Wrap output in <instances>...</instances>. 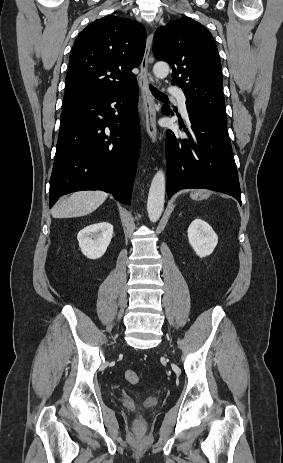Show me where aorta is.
<instances>
[{"instance_id": "obj_1", "label": "aorta", "mask_w": 283, "mask_h": 463, "mask_svg": "<svg viewBox=\"0 0 283 463\" xmlns=\"http://www.w3.org/2000/svg\"><path fill=\"white\" fill-rule=\"evenodd\" d=\"M153 73L158 78H165L169 73V65L166 62H157L153 67ZM165 175L159 170L153 177L149 189L147 211L151 222H156L164 208Z\"/></svg>"}]
</instances>
